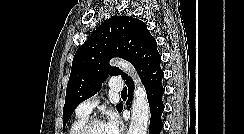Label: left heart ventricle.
Returning <instances> with one entry per match:
<instances>
[{"instance_id": "obj_1", "label": "left heart ventricle", "mask_w": 244, "mask_h": 134, "mask_svg": "<svg viewBox=\"0 0 244 134\" xmlns=\"http://www.w3.org/2000/svg\"><path fill=\"white\" fill-rule=\"evenodd\" d=\"M89 134H108V132L105 124H101L94 126Z\"/></svg>"}]
</instances>
